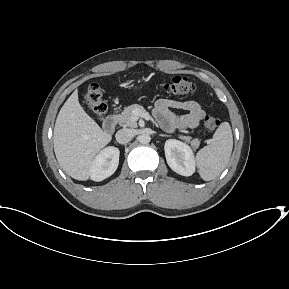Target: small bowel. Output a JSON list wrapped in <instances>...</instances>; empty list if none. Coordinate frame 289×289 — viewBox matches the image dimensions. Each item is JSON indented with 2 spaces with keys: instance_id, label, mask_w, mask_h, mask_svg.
I'll use <instances>...</instances> for the list:
<instances>
[{
  "instance_id": "c3829d8e",
  "label": "small bowel",
  "mask_w": 289,
  "mask_h": 289,
  "mask_svg": "<svg viewBox=\"0 0 289 289\" xmlns=\"http://www.w3.org/2000/svg\"><path fill=\"white\" fill-rule=\"evenodd\" d=\"M172 109L184 110L187 113L177 115ZM154 116L167 131L196 128L205 116V111L194 100L159 99L154 107Z\"/></svg>"
}]
</instances>
